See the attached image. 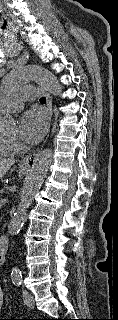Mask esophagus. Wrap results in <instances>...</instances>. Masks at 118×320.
I'll list each match as a JSON object with an SVG mask.
<instances>
[{
  "label": "esophagus",
  "mask_w": 118,
  "mask_h": 320,
  "mask_svg": "<svg viewBox=\"0 0 118 320\" xmlns=\"http://www.w3.org/2000/svg\"><path fill=\"white\" fill-rule=\"evenodd\" d=\"M45 97H46V105L47 108L49 110V114H50V121H51V117L53 115V109H52V98L51 96L44 91ZM37 152H33L27 156H25L22 161H21V168L23 169H30L34 166L35 161H36V157H37Z\"/></svg>",
  "instance_id": "1"
}]
</instances>
